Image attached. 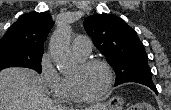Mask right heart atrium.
Here are the masks:
<instances>
[{
    "label": "right heart atrium",
    "instance_id": "obj_1",
    "mask_svg": "<svg viewBox=\"0 0 171 110\" xmlns=\"http://www.w3.org/2000/svg\"><path fill=\"white\" fill-rule=\"evenodd\" d=\"M39 77L47 90L55 96V93L59 89L62 77L52 64L49 53L43 54L40 60Z\"/></svg>",
    "mask_w": 171,
    "mask_h": 110
}]
</instances>
